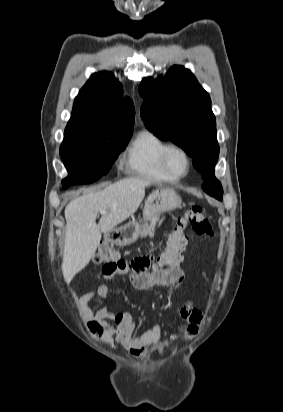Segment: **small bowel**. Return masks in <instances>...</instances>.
Segmentation results:
<instances>
[{"mask_svg":"<svg viewBox=\"0 0 283 412\" xmlns=\"http://www.w3.org/2000/svg\"><path fill=\"white\" fill-rule=\"evenodd\" d=\"M117 275H126L132 288L144 291L154 286L174 285L182 287L186 278V270L182 265V257L179 254L164 270H155L152 274L127 270ZM114 276L116 275H106L104 281L96 288V291H86L78 299V307L85 320L100 327L106 341L120 343L132 355L139 356L148 346L159 343L161 339L160 326L155 323L140 334H137L136 321L132 314L128 312H113L109 309L107 281ZM95 295L98 296L102 304L96 311H93L89 304ZM180 314L189 322L187 335L194 337L203 322L201 309L187 302L180 309Z\"/></svg>","mask_w":283,"mask_h":412,"instance_id":"1","label":"small bowel"}]
</instances>
